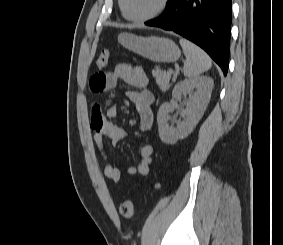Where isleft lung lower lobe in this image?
I'll return each instance as SVG.
<instances>
[{
    "mask_svg": "<svg viewBox=\"0 0 283 245\" xmlns=\"http://www.w3.org/2000/svg\"><path fill=\"white\" fill-rule=\"evenodd\" d=\"M145 25L174 31L204 49L227 74L231 0H172Z\"/></svg>",
    "mask_w": 283,
    "mask_h": 245,
    "instance_id": "1",
    "label": "left lung lower lobe"
}]
</instances>
